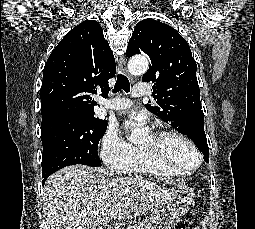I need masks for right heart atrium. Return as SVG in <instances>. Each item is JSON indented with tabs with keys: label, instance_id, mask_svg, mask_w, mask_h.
<instances>
[{
	"label": "right heart atrium",
	"instance_id": "right-heart-atrium-1",
	"mask_svg": "<svg viewBox=\"0 0 255 229\" xmlns=\"http://www.w3.org/2000/svg\"><path fill=\"white\" fill-rule=\"evenodd\" d=\"M135 147L121 137L117 130L109 129L102 137L100 155L109 168L123 171L124 166L130 161Z\"/></svg>",
	"mask_w": 255,
	"mask_h": 229
}]
</instances>
